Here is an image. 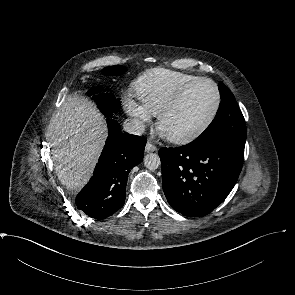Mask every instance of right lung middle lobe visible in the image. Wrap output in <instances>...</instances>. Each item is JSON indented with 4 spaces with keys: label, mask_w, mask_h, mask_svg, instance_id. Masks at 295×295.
Listing matches in <instances>:
<instances>
[{
    "label": "right lung middle lobe",
    "mask_w": 295,
    "mask_h": 295,
    "mask_svg": "<svg viewBox=\"0 0 295 295\" xmlns=\"http://www.w3.org/2000/svg\"><path fill=\"white\" fill-rule=\"evenodd\" d=\"M125 70L126 68L123 66H110L104 68L102 73L105 75H120ZM99 91V88L92 89L88 94L93 95ZM94 100L97 102L99 109L105 116H110L112 112H116L120 108V101L111 93L99 94Z\"/></svg>",
    "instance_id": "dd1d6c3e"
}]
</instances>
